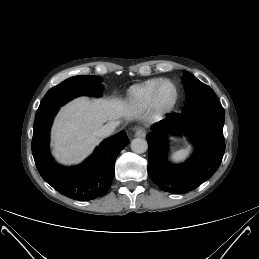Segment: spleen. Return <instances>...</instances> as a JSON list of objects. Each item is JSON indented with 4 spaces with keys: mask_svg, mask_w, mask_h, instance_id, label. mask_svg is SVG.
Here are the masks:
<instances>
[{
    "mask_svg": "<svg viewBox=\"0 0 259 259\" xmlns=\"http://www.w3.org/2000/svg\"><path fill=\"white\" fill-rule=\"evenodd\" d=\"M190 149L191 148L188 147V148H185V149L178 150L177 152H175L172 155V157H171L172 161H174V162L184 161L188 157V155L190 153Z\"/></svg>",
    "mask_w": 259,
    "mask_h": 259,
    "instance_id": "obj_1",
    "label": "spleen"
}]
</instances>
